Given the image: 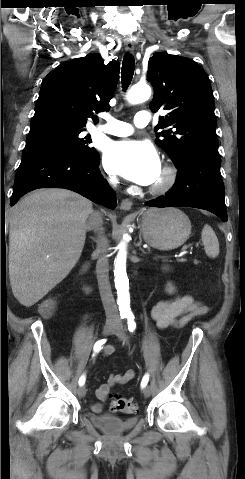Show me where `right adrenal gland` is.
Returning a JSON list of instances; mask_svg holds the SVG:
<instances>
[{
    "label": "right adrenal gland",
    "mask_w": 245,
    "mask_h": 479,
    "mask_svg": "<svg viewBox=\"0 0 245 479\" xmlns=\"http://www.w3.org/2000/svg\"><path fill=\"white\" fill-rule=\"evenodd\" d=\"M94 242H96V239L94 237H90Z\"/></svg>",
    "instance_id": "obj_1"
}]
</instances>
